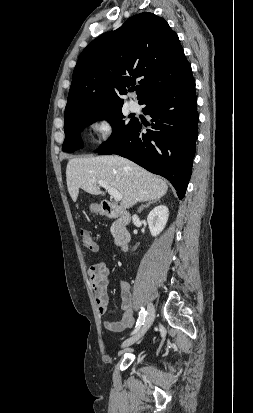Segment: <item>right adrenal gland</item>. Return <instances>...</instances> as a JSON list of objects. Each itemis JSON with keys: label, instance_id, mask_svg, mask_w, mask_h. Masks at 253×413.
<instances>
[{"label": "right adrenal gland", "instance_id": "1", "mask_svg": "<svg viewBox=\"0 0 253 413\" xmlns=\"http://www.w3.org/2000/svg\"><path fill=\"white\" fill-rule=\"evenodd\" d=\"M159 200H149L146 204L140 206L138 213H141L144 208H148L151 204L158 202Z\"/></svg>", "mask_w": 253, "mask_h": 413}]
</instances>
